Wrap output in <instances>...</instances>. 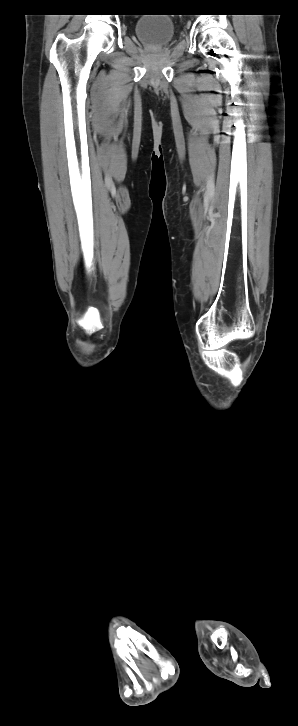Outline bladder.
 <instances>
[{
	"mask_svg": "<svg viewBox=\"0 0 298 726\" xmlns=\"http://www.w3.org/2000/svg\"><path fill=\"white\" fill-rule=\"evenodd\" d=\"M165 14H143L134 23L137 38L146 45L158 48L169 44L175 35L174 23Z\"/></svg>",
	"mask_w": 298,
	"mask_h": 726,
	"instance_id": "1",
	"label": "bladder"
}]
</instances>
